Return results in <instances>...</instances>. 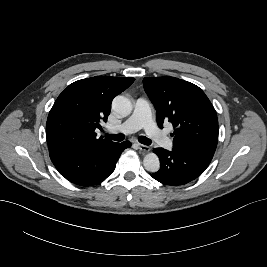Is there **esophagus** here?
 I'll return each instance as SVG.
<instances>
[{
  "label": "esophagus",
  "mask_w": 267,
  "mask_h": 267,
  "mask_svg": "<svg viewBox=\"0 0 267 267\" xmlns=\"http://www.w3.org/2000/svg\"><path fill=\"white\" fill-rule=\"evenodd\" d=\"M137 146H138V149L143 151V152H149L150 151L149 146H146V145H143V144H140V143H138Z\"/></svg>",
  "instance_id": "esophagus-1"
}]
</instances>
